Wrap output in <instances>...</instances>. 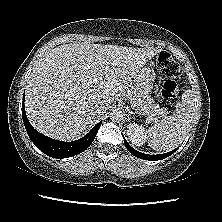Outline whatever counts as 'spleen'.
I'll use <instances>...</instances> for the list:
<instances>
[{"mask_svg": "<svg viewBox=\"0 0 222 222\" xmlns=\"http://www.w3.org/2000/svg\"><path fill=\"white\" fill-rule=\"evenodd\" d=\"M194 113L193 93L186 90L181 102L177 104L175 113L147 130L149 146L156 151H170L179 146L192 127Z\"/></svg>", "mask_w": 222, "mask_h": 222, "instance_id": "3e777b00", "label": "spleen"}]
</instances>
